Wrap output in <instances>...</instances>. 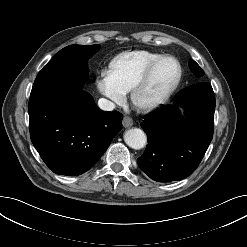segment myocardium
Instances as JSON below:
<instances>
[{"label": "myocardium", "mask_w": 247, "mask_h": 247, "mask_svg": "<svg viewBox=\"0 0 247 247\" xmlns=\"http://www.w3.org/2000/svg\"><path fill=\"white\" fill-rule=\"evenodd\" d=\"M164 60H172L173 62H175L177 69H178L176 78L174 79L172 84L158 97H156V98H154L148 102H145V103L141 102V100H140L141 94H142L143 90L145 89V87L147 86L155 68L159 65L160 62H162ZM181 78H182V66H181L180 62L173 56L161 55L160 57L155 59L146 68V70L143 72V74L140 76L138 81L133 86V88L131 90L132 103L134 104V106L137 109L144 111V112L152 111V110L158 108L163 103H165L169 99V97L173 94V92L178 87V85L181 81Z\"/></svg>", "instance_id": "f54148a6"}]
</instances>
